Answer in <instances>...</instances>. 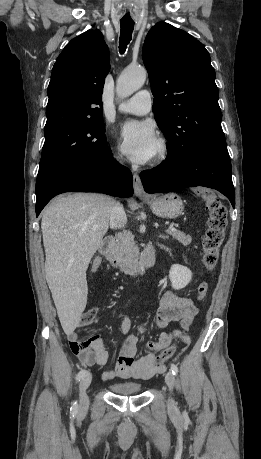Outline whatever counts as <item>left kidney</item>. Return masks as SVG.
<instances>
[{
	"instance_id": "obj_1",
	"label": "left kidney",
	"mask_w": 261,
	"mask_h": 459,
	"mask_svg": "<svg viewBox=\"0 0 261 459\" xmlns=\"http://www.w3.org/2000/svg\"><path fill=\"white\" fill-rule=\"evenodd\" d=\"M171 286L175 290L182 289L188 285L192 279V273L189 268L183 265H172L169 271Z\"/></svg>"
}]
</instances>
